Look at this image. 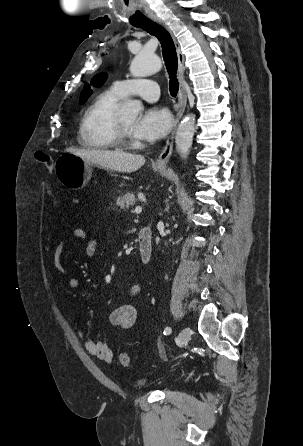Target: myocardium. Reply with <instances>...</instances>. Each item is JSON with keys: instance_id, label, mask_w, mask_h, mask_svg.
Masks as SVG:
<instances>
[{"instance_id": "obj_1", "label": "myocardium", "mask_w": 303, "mask_h": 446, "mask_svg": "<svg viewBox=\"0 0 303 446\" xmlns=\"http://www.w3.org/2000/svg\"><path fill=\"white\" fill-rule=\"evenodd\" d=\"M116 143L117 146L129 147L135 144L132 133L125 127L121 118L116 120Z\"/></svg>"}]
</instances>
